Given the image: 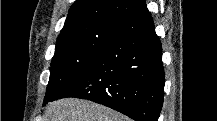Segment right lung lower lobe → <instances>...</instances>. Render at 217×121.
Listing matches in <instances>:
<instances>
[{"label":"right lung lower lobe","instance_id":"98d812e1","mask_svg":"<svg viewBox=\"0 0 217 121\" xmlns=\"http://www.w3.org/2000/svg\"><path fill=\"white\" fill-rule=\"evenodd\" d=\"M162 47L148 9L131 19L99 56L43 105L78 97L136 121H157L164 97Z\"/></svg>","mask_w":217,"mask_h":121}]
</instances>
